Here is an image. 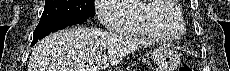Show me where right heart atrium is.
Returning <instances> with one entry per match:
<instances>
[{"mask_svg":"<svg viewBox=\"0 0 230 71\" xmlns=\"http://www.w3.org/2000/svg\"><path fill=\"white\" fill-rule=\"evenodd\" d=\"M126 0H97L95 2L96 15L99 21L108 29L115 30L125 20L124 13L117 11L116 7Z\"/></svg>","mask_w":230,"mask_h":71,"instance_id":"obj_1","label":"right heart atrium"}]
</instances>
